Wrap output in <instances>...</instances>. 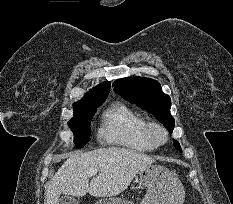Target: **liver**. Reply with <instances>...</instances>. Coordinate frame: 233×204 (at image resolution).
Wrapping results in <instances>:
<instances>
[{"instance_id":"6515ba94","label":"liver","mask_w":233,"mask_h":204,"mask_svg":"<svg viewBox=\"0 0 233 204\" xmlns=\"http://www.w3.org/2000/svg\"><path fill=\"white\" fill-rule=\"evenodd\" d=\"M155 160L133 149L100 148L85 153L70 154L51 179L45 204H57L61 194L94 197L116 196L126 190L140 169ZM97 169L99 175L89 183L87 171Z\"/></svg>"}]
</instances>
